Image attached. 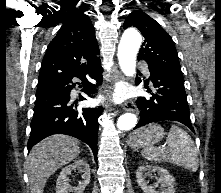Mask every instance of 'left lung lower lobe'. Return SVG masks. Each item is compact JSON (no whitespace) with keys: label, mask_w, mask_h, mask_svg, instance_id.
I'll return each mask as SVG.
<instances>
[{"label":"left lung lower lobe","mask_w":221,"mask_h":193,"mask_svg":"<svg viewBox=\"0 0 221 193\" xmlns=\"http://www.w3.org/2000/svg\"><path fill=\"white\" fill-rule=\"evenodd\" d=\"M148 68L155 89L148 91L151 97L137 98L140 120L134 129L156 121L173 120L194 131L182 74L149 65Z\"/></svg>","instance_id":"0a47b994"}]
</instances>
